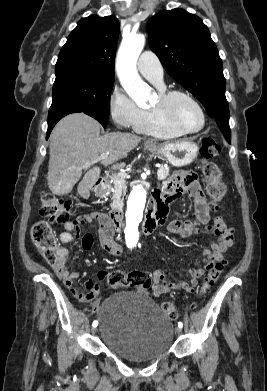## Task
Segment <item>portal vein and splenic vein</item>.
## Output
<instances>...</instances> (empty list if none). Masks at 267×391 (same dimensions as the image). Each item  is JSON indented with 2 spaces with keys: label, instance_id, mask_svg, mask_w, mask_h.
Instances as JSON below:
<instances>
[{
  "label": "portal vein and splenic vein",
  "instance_id": "obj_1",
  "mask_svg": "<svg viewBox=\"0 0 267 391\" xmlns=\"http://www.w3.org/2000/svg\"><path fill=\"white\" fill-rule=\"evenodd\" d=\"M109 153H105V154H101L99 157H97L96 159L92 160L91 162L87 163L86 167H89L91 166L92 164L106 158L108 156ZM156 167L158 169H160V164H157ZM127 176V174L125 172H118L117 174H113V177L114 178H125Z\"/></svg>",
  "mask_w": 267,
  "mask_h": 391
}]
</instances>
